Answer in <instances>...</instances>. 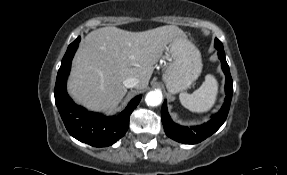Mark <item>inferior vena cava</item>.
Returning <instances> with one entry per match:
<instances>
[{
    "mask_svg": "<svg viewBox=\"0 0 287 175\" xmlns=\"http://www.w3.org/2000/svg\"><path fill=\"white\" fill-rule=\"evenodd\" d=\"M123 84L126 88L137 87L139 85V79L135 77H129L126 80H124Z\"/></svg>",
    "mask_w": 287,
    "mask_h": 175,
    "instance_id": "602c4592",
    "label": "inferior vena cava"
}]
</instances>
